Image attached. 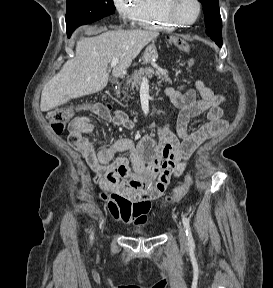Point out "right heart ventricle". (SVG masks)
Returning <instances> with one entry per match:
<instances>
[{
  "label": "right heart ventricle",
  "instance_id": "e07e8e85",
  "mask_svg": "<svg viewBox=\"0 0 273 288\" xmlns=\"http://www.w3.org/2000/svg\"><path fill=\"white\" fill-rule=\"evenodd\" d=\"M133 23L154 30H172L176 26L166 17L163 0H140Z\"/></svg>",
  "mask_w": 273,
  "mask_h": 288
}]
</instances>
